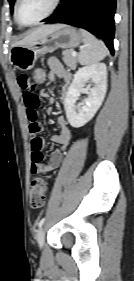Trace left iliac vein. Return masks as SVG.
<instances>
[{"mask_svg": "<svg viewBox=\"0 0 134 281\" xmlns=\"http://www.w3.org/2000/svg\"><path fill=\"white\" fill-rule=\"evenodd\" d=\"M44 237H45V229H44V227H41L37 234V243L40 248H42V246H43Z\"/></svg>", "mask_w": 134, "mask_h": 281, "instance_id": "4c4485c4", "label": "left iliac vein"}]
</instances>
